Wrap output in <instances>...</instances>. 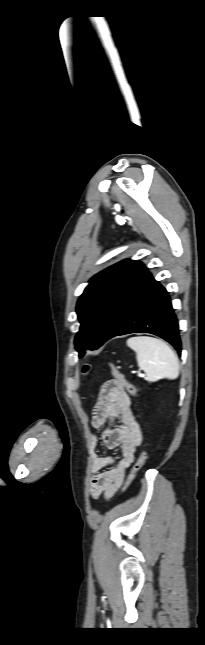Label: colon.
<instances>
[{
    "mask_svg": "<svg viewBox=\"0 0 205 645\" xmlns=\"http://www.w3.org/2000/svg\"><path fill=\"white\" fill-rule=\"evenodd\" d=\"M109 368L111 370L112 375L114 376V379L108 381V388L111 390H123V391L126 390L129 394L136 396L137 395L136 388L125 379L123 374L112 363H109ZM82 370L84 374H87L90 370V366L88 364H85ZM146 459H147V451L144 449L141 452L140 456L138 457L137 461L135 462L134 466L132 467L127 477V480L123 487V492H125L132 484L138 472L144 466Z\"/></svg>",
    "mask_w": 205,
    "mask_h": 645,
    "instance_id": "5ec220e1",
    "label": "colon"
}]
</instances>
